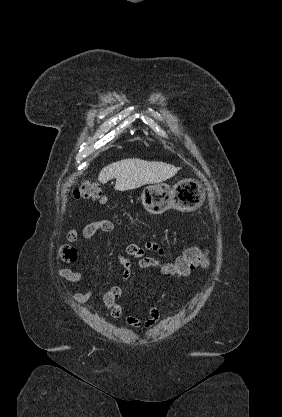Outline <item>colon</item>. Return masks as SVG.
Wrapping results in <instances>:
<instances>
[{
	"label": "colon",
	"mask_w": 282,
	"mask_h": 417,
	"mask_svg": "<svg viewBox=\"0 0 282 417\" xmlns=\"http://www.w3.org/2000/svg\"><path fill=\"white\" fill-rule=\"evenodd\" d=\"M78 199H92L101 203L105 202L102 186L96 182L86 181L82 183L75 191ZM61 260L65 262H74L77 258L75 248L64 245L60 252ZM199 264L206 266L207 258L205 253L198 248H189L182 255L175 258V264L168 266L165 263L160 264L161 270L168 276L185 277L194 270Z\"/></svg>",
	"instance_id": "5ec220e1"
}]
</instances>
